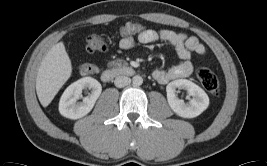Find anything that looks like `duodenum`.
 I'll return each mask as SVG.
<instances>
[{"instance_id": "1", "label": "duodenum", "mask_w": 267, "mask_h": 166, "mask_svg": "<svg viewBox=\"0 0 267 166\" xmlns=\"http://www.w3.org/2000/svg\"><path fill=\"white\" fill-rule=\"evenodd\" d=\"M135 73V69L131 66L118 65L103 70L101 79L103 82H110L117 76H134Z\"/></svg>"}]
</instances>
